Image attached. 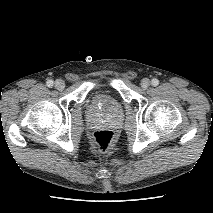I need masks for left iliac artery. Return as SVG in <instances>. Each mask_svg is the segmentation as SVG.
I'll list each match as a JSON object with an SVG mask.
<instances>
[{
	"instance_id": "obj_1",
	"label": "left iliac artery",
	"mask_w": 213,
	"mask_h": 213,
	"mask_svg": "<svg viewBox=\"0 0 213 213\" xmlns=\"http://www.w3.org/2000/svg\"><path fill=\"white\" fill-rule=\"evenodd\" d=\"M151 84H152L153 86H157V85L159 84V80L156 79V78H153L152 81H151Z\"/></svg>"
}]
</instances>
